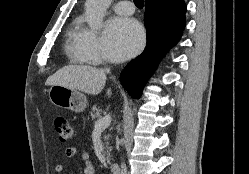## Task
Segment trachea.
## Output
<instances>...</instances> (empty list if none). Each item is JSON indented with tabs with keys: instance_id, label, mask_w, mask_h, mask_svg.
Masks as SVG:
<instances>
[{
	"instance_id": "3493384b",
	"label": "trachea",
	"mask_w": 249,
	"mask_h": 174,
	"mask_svg": "<svg viewBox=\"0 0 249 174\" xmlns=\"http://www.w3.org/2000/svg\"><path fill=\"white\" fill-rule=\"evenodd\" d=\"M134 4L141 9L144 7V0H134Z\"/></svg>"
}]
</instances>
